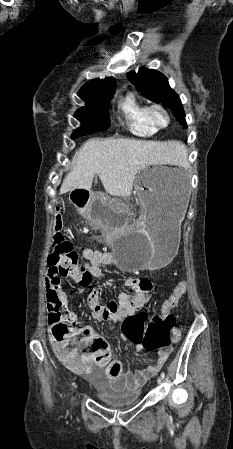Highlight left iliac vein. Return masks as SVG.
Segmentation results:
<instances>
[{
	"label": "left iliac vein",
	"instance_id": "1",
	"mask_svg": "<svg viewBox=\"0 0 233 449\" xmlns=\"http://www.w3.org/2000/svg\"><path fill=\"white\" fill-rule=\"evenodd\" d=\"M162 380H163L162 376L158 377L157 383L160 385L162 383Z\"/></svg>",
	"mask_w": 233,
	"mask_h": 449
}]
</instances>
